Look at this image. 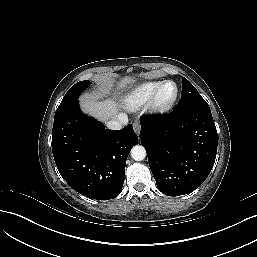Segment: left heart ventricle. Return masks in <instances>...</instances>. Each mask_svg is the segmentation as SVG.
<instances>
[{
	"label": "left heart ventricle",
	"mask_w": 257,
	"mask_h": 257,
	"mask_svg": "<svg viewBox=\"0 0 257 257\" xmlns=\"http://www.w3.org/2000/svg\"><path fill=\"white\" fill-rule=\"evenodd\" d=\"M174 94H175V88H174V86H173L172 84H168V85L165 87V89H164V91H163V93H162L161 101H162L163 103L168 102L169 100L172 99V97L174 96Z\"/></svg>",
	"instance_id": "b2bd125f"
}]
</instances>
